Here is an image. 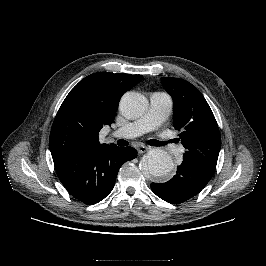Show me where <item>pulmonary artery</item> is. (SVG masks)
Returning <instances> with one entry per match:
<instances>
[{"mask_svg":"<svg viewBox=\"0 0 266 266\" xmlns=\"http://www.w3.org/2000/svg\"><path fill=\"white\" fill-rule=\"evenodd\" d=\"M172 105V99L167 93H152L147 112L138 120L113 131L112 136L131 139L145 132L156 129L168 118L172 111ZM167 148L170 150L171 146H168Z\"/></svg>","mask_w":266,"mask_h":266,"instance_id":"e3ab8cb5","label":"pulmonary artery"}]
</instances>
